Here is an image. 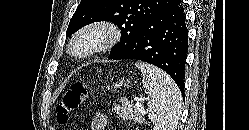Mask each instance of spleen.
<instances>
[{
	"instance_id": "1",
	"label": "spleen",
	"mask_w": 249,
	"mask_h": 130,
	"mask_svg": "<svg viewBox=\"0 0 249 130\" xmlns=\"http://www.w3.org/2000/svg\"><path fill=\"white\" fill-rule=\"evenodd\" d=\"M135 66L143 75L142 84L148 95V118L154 124V130H176L182 112L178 86L156 66L144 62H136Z\"/></svg>"
}]
</instances>
